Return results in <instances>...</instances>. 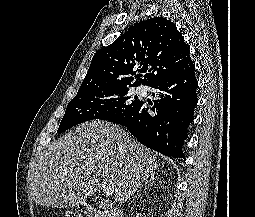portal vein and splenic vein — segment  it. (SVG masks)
Segmentation results:
<instances>
[{
	"mask_svg": "<svg viewBox=\"0 0 255 217\" xmlns=\"http://www.w3.org/2000/svg\"><path fill=\"white\" fill-rule=\"evenodd\" d=\"M65 174H67V173H65ZM101 186H102L104 193L107 196H111L114 193V188L111 185H109L106 180H102Z\"/></svg>",
	"mask_w": 255,
	"mask_h": 217,
	"instance_id": "portal-vein-and-splenic-vein-1",
	"label": "portal vein and splenic vein"
}]
</instances>
